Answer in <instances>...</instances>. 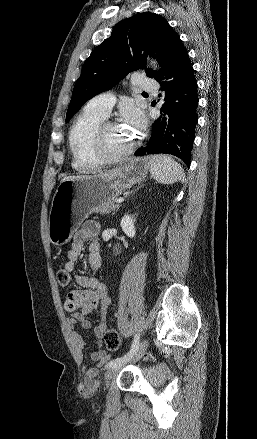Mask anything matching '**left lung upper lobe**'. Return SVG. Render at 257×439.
I'll return each mask as SVG.
<instances>
[{"instance_id":"obj_1","label":"left lung upper lobe","mask_w":257,"mask_h":439,"mask_svg":"<svg viewBox=\"0 0 257 439\" xmlns=\"http://www.w3.org/2000/svg\"><path fill=\"white\" fill-rule=\"evenodd\" d=\"M179 38L167 20L151 12L138 13L119 22L111 36L97 46L84 62L77 80L66 122L95 95L123 79L129 72L145 67V58H157L161 69H146L148 77H158L165 68Z\"/></svg>"}]
</instances>
